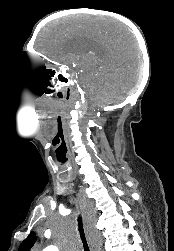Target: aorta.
I'll return each instance as SVG.
<instances>
[{
	"mask_svg": "<svg viewBox=\"0 0 174 251\" xmlns=\"http://www.w3.org/2000/svg\"><path fill=\"white\" fill-rule=\"evenodd\" d=\"M43 251H59V249L56 246H48Z\"/></svg>",
	"mask_w": 174,
	"mask_h": 251,
	"instance_id": "obj_1",
	"label": "aorta"
}]
</instances>
